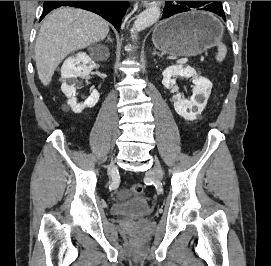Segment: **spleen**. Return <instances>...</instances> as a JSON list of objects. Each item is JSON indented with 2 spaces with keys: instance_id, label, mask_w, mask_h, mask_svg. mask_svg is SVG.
<instances>
[{
  "instance_id": "1",
  "label": "spleen",
  "mask_w": 271,
  "mask_h": 266,
  "mask_svg": "<svg viewBox=\"0 0 271 266\" xmlns=\"http://www.w3.org/2000/svg\"><path fill=\"white\" fill-rule=\"evenodd\" d=\"M217 48H218V53L216 55V60L218 62H222L226 56V53H227V48L226 46L220 42V41H217Z\"/></svg>"
}]
</instances>
